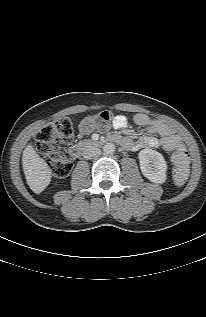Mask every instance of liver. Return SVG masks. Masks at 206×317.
Listing matches in <instances>:
<instances>
[{"label": "liver", "instance_id": "1", "mask_svg": "<svg viewBox=\"0 0 206 317\" xmlns=\"http://www.w3.org/2000/svg\"><path fill=\"white\" fill-rule=\"evenodd\" d=\"M22 165L30 189L36 194L41 193L49 185L52 172L32 144H28L23 151Z\"/></svg>", "mask_w": 206, "mask_h": 317}]
</instances>
